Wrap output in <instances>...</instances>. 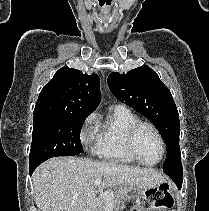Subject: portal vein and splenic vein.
I'll list each match as a JSON object with an SVG mask.
<instances>
[{"label":"portal vein and splenic vein","instance_id":"18ae733b","mask_svg":"<svg viewBox=\"0 0 209 211\" xmlns=\"http://www.w3.org/2000/svg\"><path fill=\"white\" fill-rule=\"evenodd\" d=\"M101 182H102L101 179H97V180H95L94 185H95V186H98V185L101 184ZM102 196H103V198H104L106 201H108L109 203H112L113 193H111V191H105V192H103V193H102Z\"/></svg>","mask_w":209,"mask_h":211}]
</instances>
